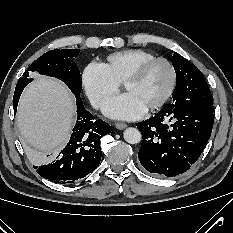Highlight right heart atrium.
<instances>
[{
	"label": "right heart atrium",
	"instance_id": "1",
	"mask_svg": "<svg viewBox=\"0 0 233 233\" xmlns=\"http://www.w3.org/2000/svg\"><path fill=\"white\" fill-rule=\"evenodd\" d=\"M82 84L88 99L97 109L102 108L120 88L119 83L101 63H90L85 67Z\"/></svg>",
	"mask_w": 233,
	"mask_h": 233
}]
</instances>
